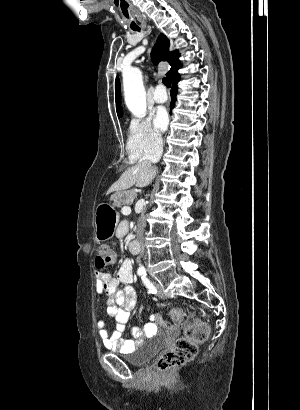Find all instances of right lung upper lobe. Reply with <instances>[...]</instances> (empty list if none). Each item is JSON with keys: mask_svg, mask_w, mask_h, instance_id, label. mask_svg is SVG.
<instances>
[{"mask_svg": "<svg viewBox=\"0 0 300 410\" xmlns=\"http://www.w3.org/2000/svg\"><path fill=\"white\" fill-rule=\"evenodd\" d=\"M170 42L169 39L161 34L156 42V47L152 51V59L154 64H158L160 61H167L169 62L171 69L167 73V75L172 78L176 73L178 68H180L179 64V53L178 51L170 52L169 51ZM115 91H116V109L118 117H121L123 111L121 109V94H120V82L119 79H116L115 82Z\"/></svg>", "mask_w": 300, "mask_h": 410, "instance_id": "right-lung-upper-lobe-1", "label": "right lung upper lobe"}]
</instances>
